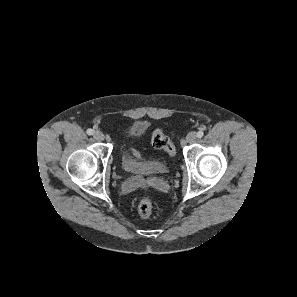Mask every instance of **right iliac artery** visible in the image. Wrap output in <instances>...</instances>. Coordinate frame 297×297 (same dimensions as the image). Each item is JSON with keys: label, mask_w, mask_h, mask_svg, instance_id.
Returning a JSON list of instances; mask_svg holds the SVG:
<instances>
[{"label": "right iliac artery", "mask_w": 297, "mask_h": 297, "mask_svg": "<svg viewBox=\"0 0 297 297\" xmlns=\"http://www.w3.org/2000/svg\"><path fill=\"white\" fill-rule=\"evenodd\" d=\"M86 132H87L88 135H92L94 133V131L91 128L90 129H87Z\"/></svg>", "instance_id": "1"}]
</instances>
